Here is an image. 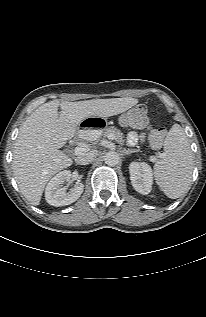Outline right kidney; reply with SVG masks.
I'll return each mask as SVG.
<instances>
[{
    "label": "right kidney",
    "instance_id": "ca27d5eb",
    "mask_svg": "<svg viewBox=\"0 0 206 317\" xmlns=\"http://www.w3.org/2000/svg\"><path fill=\"white\" fill-rule=\"evenodd\" d=\"M71 172L64 170L56 174L47 184L45 189V199L53 206H64L75 202L83 193L84 185L77 182L70 191L62 188V184L70 181Z\"/></svg>",
    "mask_w": 206,
    "mask_h": 317
}]
</instances>
